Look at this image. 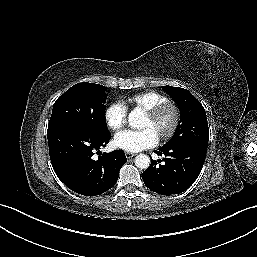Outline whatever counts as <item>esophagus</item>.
Wrapping results in <instances>:
<instances>
[{"label": "esophagus", "mask_w": 257, "mask_h": 257, "mask_svg": "<svg viewBox=\"0 0 257 257\" xmlns=\"http://www.w3.org/2000/svg\"><path fill=\"white\" fill-rule=\"evenodd\" d=\"M125 155H126V158H127V159H130V158H132L133 156H135V154H134V153H131V152H125Z\"/></svg>", "instance_id": "1"}]
</instances>
